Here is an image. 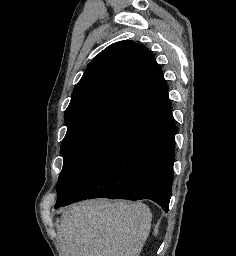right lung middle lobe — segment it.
<instances>
[{"mask_svg": "<svg viewBox=\"0 0 236 256\" xmlns=\"http://www.w3.org/2000/svg\"><path fill=\"white\" fill-rule=\"evenodd\" d=\"M147 124L128 113L115 112L67 128L61 145L63 168L58 179L57 202L65 201L103 160Z\"/></svg>", "mask_w": 236, "mask_h": 256, "instance_id": "dd1d6c3e", "label": "right lung middle lobe"}]
</instances>
